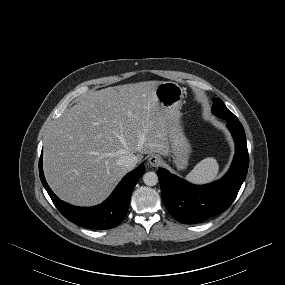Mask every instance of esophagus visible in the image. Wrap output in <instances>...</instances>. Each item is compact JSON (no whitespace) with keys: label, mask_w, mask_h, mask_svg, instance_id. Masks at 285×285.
<instances>
[{"label":"esophagus","mask_w":285,"mask_h":285,"mask_svg":"<svg viewBox=\"0 0 285 285\" xmlns=\"http://www.w3.org/2000/svg\"><path fill=\"white\" fill-rule=\"evenodd\" d=\"M161 158L158 155H152L148 159V164L152 167H158L161 164Z\"/></svg>","instance_id":"1"}]
</instances>
